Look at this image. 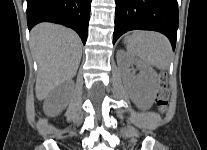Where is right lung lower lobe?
<instances>
[{"instance_id": "obj_1", "label": "right lung lower lobe", "mask_w": 207, "mask_h": 150, "mask_svg": "<svg viewBox=\"0 0 207 150\" xmlns=\"http://www.w3.org/2000/svg\"><path fill=\"white\" fill-rule=\"evenodd\" d=\"M91 0H27L29 30L40 22H53L74 29L83 44L87 40Z\"/></svg>"}]
</instances>
